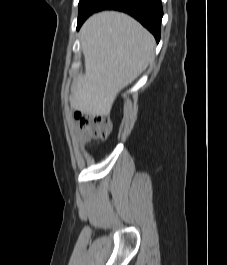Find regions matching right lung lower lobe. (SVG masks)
Returning a JSON list of instances; mask_svg holds the SVG:
<instances>
[{
  "mask_svg": "<svg viewBox=\"0 0 227 265\" xmlns=\"http://www.w3.org/2000/svg\"><path fill=\"white\" fill-rule=\"evenodd\" d=\"M102 10H118L133 16L159 42L163 16L161 0H102L93 13ZM84 21L78 23V29Z\"/></svg>",
  "mask_w": 227,
  "mask_h": 265,
  "instance_id": "right-lung-lower-lobe-1",
  "label": "right lung lower lobe"
}]
</instances>
